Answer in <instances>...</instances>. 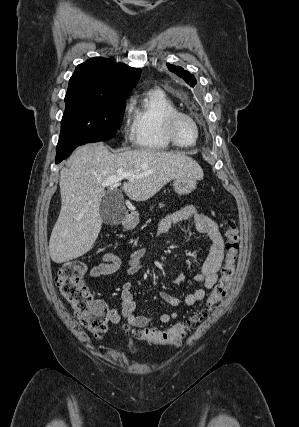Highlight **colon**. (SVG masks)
Returning <instances> with one entry per match:
<instances>
[{
  "mask_svg": "<svg viewBox=\"0 0 299 427\" xmlns=\"http://www.w3.org/2000/svg\"><path fill=\"white\" fill-rule=\"evenodd\" d=\"M226 239V258L221 268L218 282L208 296L205 305L188 318L165 330L144 328L135 332L142 340L159 344H178L190 332L209 317L212 309L226 297L235 274V259L239 251V232L234 221L228 220L224 229ZM86 264L81 260L65 262L59 270L57 285L62 297L70 305L74 314L89 332L98 335L106 330L108 318L107 305L93 298L83 281Z\"/></svg>",
  "mask_w": 299,
  "mask_h": 427,
  "instance_id": "obj_1",
  "label": "colon"
}]
</instances>
